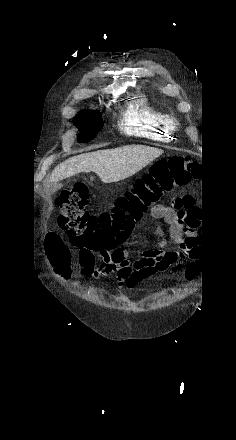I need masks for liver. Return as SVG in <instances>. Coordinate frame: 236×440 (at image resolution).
Here are the masks:
<instances>
[{"label":"liver","instance_id":"obj_1","mask_svg":"<svg viewBox=\"0 0 236 440\" xmlns=\"http://www.w3.org/2000/svg\"><path fill=\"white\" fill-rule=\"evenodd\" d=\"M162 153L154 147L127 145L79 154L55 167L50 182L56 183L81 172H94L103 183L118 182L134 175Z\"/></svg>","mask_w":236,"mask_h":440}]
</instances>
